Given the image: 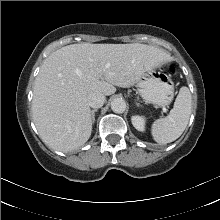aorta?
Returning a JSON list of instances; mask_svg holds the SVG:
<instances>
[{
	"label": "aorta",
	"mask_w": 220,
	"mask_h": 220,
	"mask_svg": "<svg viewBox=\"0 0 220 220\" xmlns=\"http://www.w3.org/2000/svg\"><path fill=\"white\" fill-rule=\"evenodd\" d=\"M111 109L115 113H123L126 110V102L122 98H115L111 101Z\"/></svg>",
	"instance_id": "762f6f07"
}]
</instances>
